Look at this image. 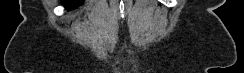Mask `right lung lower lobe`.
Instances as JSON below:
<instances>
[{
    "mask_svg": "<svg viewBox=\"0 0 244 73\" xmlns=\"http://www.w3.org/2000/svg\"><path fill=\"white\" fill-rule=\"evenodd\" d=\"M62 2L67 8H75L79 6L83 0H63Z\"/></svg>",
    "mask_w": 244,
    "mask_h": 73,
    "instance_id": "1",
    "label": "right lung lower lobe"
}]
</instances>
